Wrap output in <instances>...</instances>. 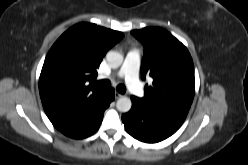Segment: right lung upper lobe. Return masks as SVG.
I'll use <instances>...</instances> for the list:
<instances>
[{
  "label": "right lung upper lobe",
  "mask_w": 248,
  "mask_h": 165,
  "mask_svg": "<svg viewBox=\"0 0 248 165\" xmlns=\"http://www.w3.org/2000/svg\"><path fill=\"white\" fill-rule=\"evenodd\" d=\"M122 38V32L79 23L54 43L42 67L39 92L57 129L84 118L105 99L107 90L88 82L95 80L106 52Z\"/></svg>",
  "instance_id": "obj_1"
}]
</instances>
